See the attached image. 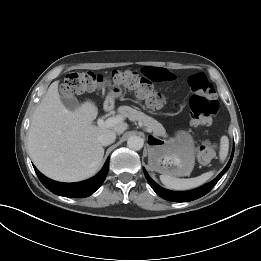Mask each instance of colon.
<instances>
[{
  "mask_svg": "<svg viewBox=\"0 0 261 261\" xmlns=\"http://www.w3.org/2000/svg\"><path fill=\"white\" fill-rule=\"evenodd\" d=\"M109 84L123 86L126 90L145 100L150 108L157 109L164 104V98L153 90L148 78L129 70L114 71L108 77L90 71L72 72L66 76L61 91L67 96H74L93 92ZM188 85L192 93L189 100L192 124L195 127L210 125L218 110L213 84L205 73L200 72L189 77ZM214 156L215 146L212 143L206 142L197 150V159L202 164L209 163Z\"/></svg>",
  "mask_w": 261,
  "mask_h": 261,
  "instance_id": "colon-1",
  "label": "colon"
}]
</instances>
